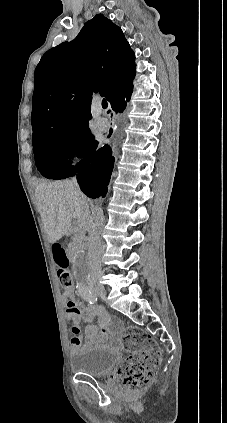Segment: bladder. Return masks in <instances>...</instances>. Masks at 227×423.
Instances as JSON below:
<instances>
[{"instance_id":"bladder-1","label":"bladder","mask_w":227,"mask_h":423,"mask_svg":"<svg viewBox=\"0 0 227 423\" xmlns=\"http://www.w3.org/2000/svg\"><path fill=\"white\" fill-rule=\"evenodd\" d=\"M119 361L118 354L113 350L103 348H88L71 358V370L99 378L113 373L115 364Z\"/></svg>"}]
</instances>
